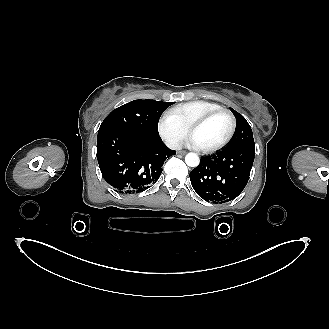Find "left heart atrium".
<instances>
[{"instance_id":"obj_1","label":"left heart atrium","mask_w":329,"mask_h":329,"mask_svg":"<svg viewBox=\"0 0 329 329\" xmlns=\"http://www.w3.org/2000/svg\"><path fill=\"white\" fill-rule=\"evenodd\" d=\"M189 146L195 147V148H199L196 140L193 137H190L187 141Z\"/></svg>"}]
</instances>
